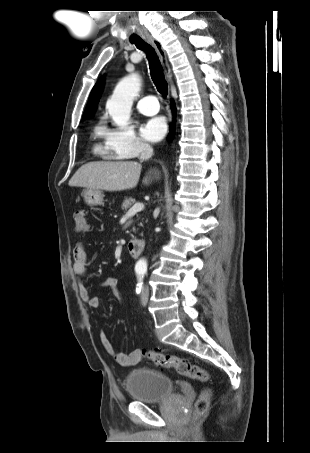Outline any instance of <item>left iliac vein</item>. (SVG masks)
<instances>
[{"instance_id":"4c4485c4","label":"left iliac vein","mask_w":310,"mask_h":453,"mask_svg":"<svg viewBox=\"0 0 310 453\" xmlns=\"http://www.w3.org/2000/svg\"><path fill=\"white\" fill-rule=\"evenodd\" d=\"M149 299V289L145 287L141 294V304L143 306L147 305Z\"/></svg>"}]
</instances>
